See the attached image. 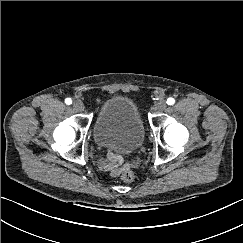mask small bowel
<instances>
[{
  "mask_svg": "<svg viewBox=\"0 0 243 243\" xmlns=\"http://www.w3.org/2000/svg\"><path fill=\"white\" fill-rule=\"evenodd\" d=\"M123 160L119 155L109 152L106 160L101 164V168L112 176H118L121 173V164ZM127 165H124V169Z\"/></svg>",
  "mask_w": 243,
  "mask_h": 243,
  "instance_id": "1",
  "label": "small bowel"
}]
</instances>
